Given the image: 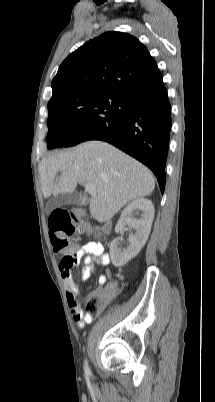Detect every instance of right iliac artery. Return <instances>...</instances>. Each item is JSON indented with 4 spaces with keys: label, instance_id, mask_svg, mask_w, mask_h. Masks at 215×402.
Returning <instances> with one entry per match:
<instances>
[{
    "label": "right iliac artery",
    "instance_id": "right-iliac-artery-1",
    "mask_svg": "<svg viewBox=\"0 0 215 402\" xmlns=\"http://www.w3.org/2000/svg\"><path fill=\"white\" fill-rule=\"evenodd\" d=\"M84 370H85V374H86L87 376H89V375L91 374V371H90V368H89V366H88V362H87V361H85Z\"/></svg>",
    "mask_w": 215,
    "mask_h": 402
}]
</instances>
